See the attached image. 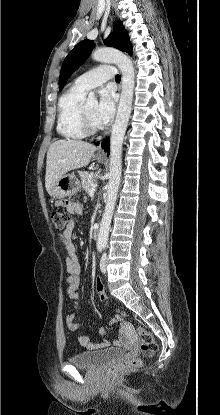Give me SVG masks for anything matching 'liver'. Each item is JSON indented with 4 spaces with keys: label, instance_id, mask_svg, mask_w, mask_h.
I'll list each match as a JSON object with an SVG mask.
<instances>
[{
    "label": "liver",
    "instance_id": "6515ba94",
    "mask_svg": "<svg viewBox=\"0 0 220 415\" xmlns=\"http://www.w3.org/2000/svg\"><path fill=\"white\" fill-rule=\"evenodd\" d=\"M96 147L80 140H58L47 152L45 187L51 195L56 182L67 172L89 164Z\"/></svg>",
    "mask_w": 220,
    "mask_h": 415
}]
</instances>
